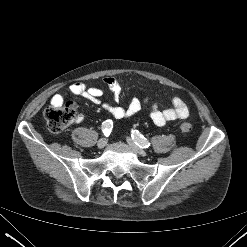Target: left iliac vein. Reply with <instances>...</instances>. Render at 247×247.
<instances>
[{
  "mask_svg": "<svg viewBox=\"0 0 247 247\" xmlns=\"http://www.w3.org/2000/svg\"><path fill=\"white\" fill-rule=\"evenodd\" d=\"M127 143L136 153H138L141 156H146L145 150L140 148L131 138H127Z\"/></svg>",
  "mask_w": 247,
  "mask_h": 247,
  "instance_id": "1",
  "label": "left iliac vein"
}]
</instances>
